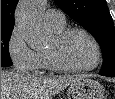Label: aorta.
Segmentation results:
<instances>
[{
  "mask_svg": "<svg viewBox=\"0 0 115 99\" xmlns=\"http://www.w3.org/2000/svg\"><path fill=\"white\" fill-rule=\"evenodd\" d=\"M46 0H25L16 11V25L32 48L43 47L48 41V30L42 15Z\"/></svg>",
  "mask_w": 115,
  "mask_h": 99,
  "instance_id": "1",
  "label": "aorta"
}]
</instances>
